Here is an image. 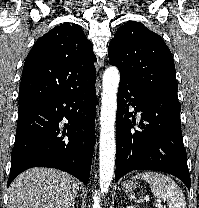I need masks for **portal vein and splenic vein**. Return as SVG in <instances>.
Listing matches in <instances>:
<instances>
[{"label": "portal vein and splenic vein", "mask_w": 199, "mask_h": 208, "mask_svg": "<svg viewBox=\"0 0 199 208\" xmlns=\"http://www.w3.org/2000/svg\"><path fill=\"white\" fill-rule=\"evenodd\" d=\"M155 206L157 208H165V206L161 203V201H157V203L155 204Z\"/></svg>", "instance_id": "1"}]
</instances>
